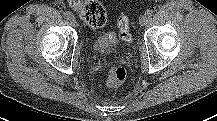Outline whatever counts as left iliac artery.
Returning <instances> with one entry per match:
<instances>
[{
	"label": "left iliac artery",
	"mask_w": 217,
	"mask_h": 121,
	"mask_svg": "<svg viewBox=\"0 0 217 121\" xmlns=\"http://www.w3.org/2000/svg\"><path fill=\"white\" fill-rule=\"evenodd\" d=\"M153 10L152 9H148L147 11H146V14L148 15V17H150V16H152V14H153Z\"/></svg>",
	"instance_id": "obj_1"
}]
</instances>
